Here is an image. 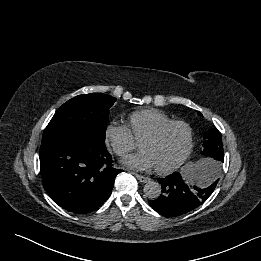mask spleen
<instances>
[{
	"mask_svg": "<svg viewBox=\"0 0 261 261\" xmlns=\"http://www.w3.org/2000/svg\"><path fill=\"white\" fill-rule=\"evenodd\" d=\"M202 167V164L192 168L190 170L184 171L183 175L186 179L189 180L190 183L196 181V183H200L201 182V174H200V169Z\"/></svg>",
	"mask_w": 261,
	"mask_h": 261,
	"instance_id": "1",
	"label": "spleen"
}]
</instances>
